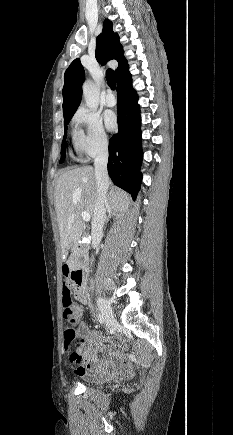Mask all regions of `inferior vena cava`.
Returning a JSON list of instances; mask_svg holds the SVG:
<instances>
[{
	"mask_svg": "<svg viewBox=\"0 0 233 435\" xmlns=\"http://www.w3.org/2000/svg\"><path fill=\"white\" fill-rule=\"evenodd\" d=\"M107 162L108 144L105 143L101 146L94 161L97 199L95 202L94 216L92 220V234L99 236L102 235L103 226L106 220L107 191L109 187Z\"/></svg>",
	"mask_w": 233,
	"mask_h": 435,
	"instance_id": "602c4592",
	"label": "inferior vena cava"
}]
</instances>
